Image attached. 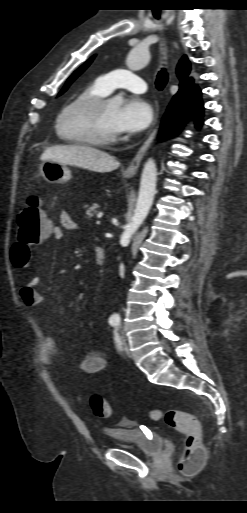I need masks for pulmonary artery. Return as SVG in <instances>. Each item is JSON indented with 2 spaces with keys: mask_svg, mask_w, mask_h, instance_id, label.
Masks as SVG:
<instances>
[{
  "mask_svg": "<svg viewBox=\"0 0 247 513\" xmlns=\"http://www.w3.org/2000/svg\"><path fill=\"white\" fill-rule=\"evenodd\" d=\"M96 82L106 93L116 88H125L135 93H144L147 90L146 82L127 69L113 70L100 76Z\"/></svg>",
  "mask_w": 247,
  "mask_h": 513,
  "instance_id": "1",
  "label": "pulmonary artery"
}]
</instances>
